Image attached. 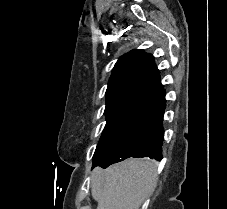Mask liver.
<instances>
[{
  "label": "liver",
  "mask_w": 227,
  "mask_h": 209,
  "mask_svg": "<svg viewBox=\"0 0 227 209\" xmlns=\"http://www.w3.org/2000/svg\"><path fill=\"white\" fill-rule=\"evenodd\" d=\"M157 165L151 159H127L91 173V195L97 209H139L157 183Z\"/></svg>",
  "instance_id": "6515ba94"
}]
</instances>
